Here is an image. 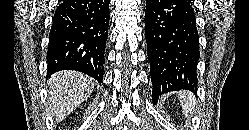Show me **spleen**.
Wrapping results in <instances>:
<instances>
[{
    "label": "spleen",
    "mask_w": 249,
    "mask_h": 130,
    "mask_svg": "<svg viewBox=\"0 0 249 130\" xmlns=\"http://www.w3.org/2000/svg\"><path fill=\"white\" fill-rule=\"evenodd\" d=\"M179 101L182 106L183 114L187 117L195 111V99L190 92H180Z\"/></svg>",
    "instance_id": "obj_1"
}]
</instances>
